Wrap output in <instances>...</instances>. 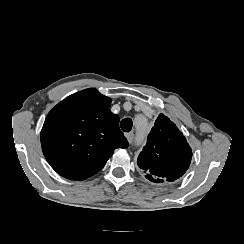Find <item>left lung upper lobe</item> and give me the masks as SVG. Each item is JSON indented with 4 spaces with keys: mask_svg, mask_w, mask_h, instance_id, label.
<instances>
[{
    "mask_svg": "<svg viewBox=\"0 0 244 244\" xmlns=\"http://www.w3.org/2000/svg\"><path fill=\"white\" fill-rule=\"evenodd\" d=\"M192 150L170 119L159 114L137 159L145 177L155 183L173 182L189 168Z\"/></svg>",
    "mask_w": 244,
    "mask_h": 244,
    "instance_id": "5c2ea615",
    "label": "left lung upper lobe"
}]
</instances>
